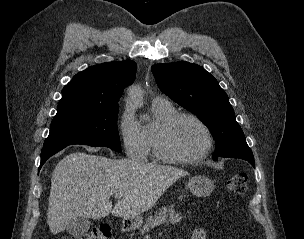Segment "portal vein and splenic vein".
I'll use <instances>...</instances> for the list:
<instances>
[{"label": "portal vein and splenic vein", "instance_id": "obj_1", "mask_svg": "<svg viewBox=\"0 0 304 239\" xmlns=\"http://www.w3.org/2000/svg\"><path fill=\"white\" fill-rule=\"evenodd\" d=\"M122 196H123L122 193L114 194V198L117 199V200H120L122 198Z\"/></svg>", "mask_w": 304, "mask_h": 239}]
</instances>
